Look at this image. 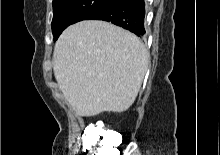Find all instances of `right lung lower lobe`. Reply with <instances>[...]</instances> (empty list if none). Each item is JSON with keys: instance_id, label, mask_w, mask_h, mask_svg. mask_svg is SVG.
I'll return each instance as SVG.
<instances>
[{"instance_id": "obj_1", "label": "right lung lower lobe", "mask_w": 220, "mask_h": 155, "mask_svg": "<svg viewBox=\"0 0 220 155\" xmlns=\"http://www.w3.org/2000/svg\"><path fill=\"white\" fill-rule=\"evenodd\" d=\"M144 15V0H119L112 6L92 14L86 20L112 22L139 36L145 34Z\"/></svg>"}]
</instances>
